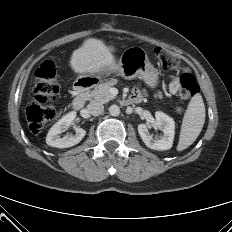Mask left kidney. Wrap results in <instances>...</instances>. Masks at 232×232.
<instances>
[{
  "mask_svg": "<svg viewBox=\"0 0 232 232\" xmlns=\"http://www.w3.org/2000/svg\"><path fill=\"white\" fill-rule=\"evenodd\" d=\"M156 127L163 131V136L160 138H153L148 131L146 124L138 125V132L145 145L153 150H168L172 147L174 134H175V122L173 118L166 115L161 111L155 113Z\"/></svg>",
  "mask_w": 232,
  "mask_h": 232,
  "instance_id": "1",
  "label": "left kidney"
}]
</instances>
